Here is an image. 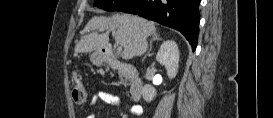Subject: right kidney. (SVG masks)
Wrapping results in <instances>:
<instances>
[{
    "label": "right kidney",
    "instance_id": "obj_1",
    "mask_svg": "<svg viewBox=\"0 0 273 118\" xmlns=\"http://www.w3.org/2000/svg\"><path fill=\"white\" fill-rule=\"evenodd\" d=\"M179 49L177 44L172 40H166L160 47L156 60L165 66L167 75L170 79H173L179 67ZM156 90L151 85L147 84L143 87L142 95L146 102H151L156 97Z\"/></svg>",
    "mask_w": 273,
    "mask_h": 118
}]
</instances>
